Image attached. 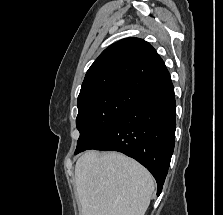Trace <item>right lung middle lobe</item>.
Listing matches in <instances>:
<instances>
[{
    "instance_id": "obj_1",
    "label": "right lung middle lobe",
    "mask_w": 223,
    "mask_h": 215,
    "mask_svg": "<svg viewBox=\"0 0 223 215\" xmlns=\"http://www.w3.org/2000/svg\"><path fill=\"white\" fill-rule=\"evenodd\" d=\"M141 97L128 90H114L78 105L76 126L80 132L75 155L89 149Z\"/></svg>"
}]
</instances>
